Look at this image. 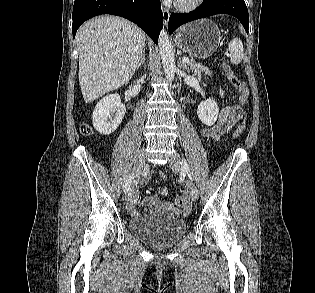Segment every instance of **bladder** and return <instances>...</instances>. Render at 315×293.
Masks as SVG:
<instances>
[{
	"label": "bladder",
	"mask_w": 315,
	"mask_h": 293,
	"mask_svg": "<svg viewBox=\"0 0 315 293\" xmlns=\"http://www.w3.org/2000/svg\"><path fill=\"white\" fill-rule=\"evenodd\" d=\"M130 231L142 241L154 247H167L179 241L187 230L183 219L166 215H144L129 221Z\"/></svg>",
	"instance_id": "31cf9c89"
}]
</instances>
